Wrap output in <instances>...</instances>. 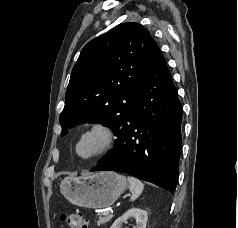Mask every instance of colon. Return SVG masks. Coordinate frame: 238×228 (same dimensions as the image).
Returning a JSON list of instances; mask_svg holds the SVG:
<instances>
[{"instance_id": "1", "label": "colon", "mask_w": 238, "mask_h": 228, "mask_svg": "<svg viewBox=\"0 0 238 228\" xmlns=\"http://www.w3.org/2000/svg\"><path fill=\"white\" fill-rule=\"evenodd\" d=\"M61 221L67 228H89L88 220L80 213L62 214Z\"/></svg>"}]
</instances>
